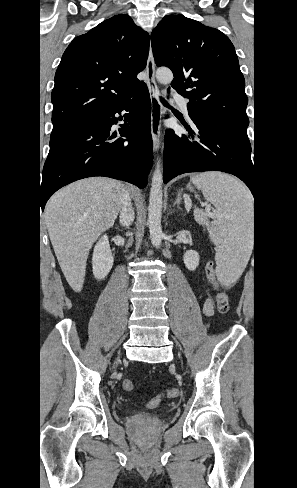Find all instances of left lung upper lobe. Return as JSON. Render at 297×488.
<instances>
[{
	"mask_svg": "<svg viewBox=\"0 0 297 488\" xmlns=\"http://www.w3.org/2000/svg\"><path fill=\"white\" fill-rule=\"evenodd\" d=\"M157 66L169 67L171 86L189 98L193 122L247 137L245 80L232 42L221 31L182 15H167L152 31Z\"/></svg>",
	"mask_w": 297,
	"mask_h": 488,
	"instance_id": "1",
	"label": "left lung upper lobe"
}]
</instances>
